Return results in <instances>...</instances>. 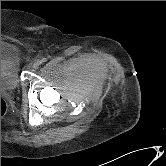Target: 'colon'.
Here are the masks:
<instances>
[{
	"instance_id": "1",
	"label": "colon",
	"mask_w": 166,
	"mask_h": 166,
	"mask_svg": "<svg viewBox=\"0 0 166 166\" xmlns=\"http://www.w3.org/2000/svg\"><path fill=\"white\" fill-rule=\"evenodd\" d=\"M6 111H7V104L4 101V99L1 98V117L4 116V114L6 113Z\"/></svg>"
}]
</instances>
